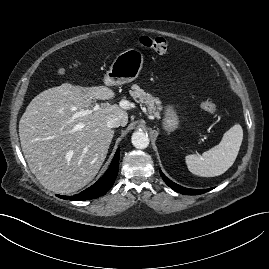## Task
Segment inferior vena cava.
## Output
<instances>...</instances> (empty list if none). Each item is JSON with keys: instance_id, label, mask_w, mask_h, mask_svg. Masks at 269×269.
I'll list each match as a JSON object with an SVG mask.
<instances>
[{"instance_id": "inferior-vena-cava-1", "label": "inferior vena cava", "mask_w": 269, "mask_h": 269, "mask_svg": "<svg viewBox=\"0 0 269 269\" xmlns=\"http://www.w3.org/2000/svg\"><path fill=\"white\" fill-rule=\"evenodd\" d=\"M121 125V121L118 117H112L107 121L108 128H117Z\"/></svg>"}]
</instances>
